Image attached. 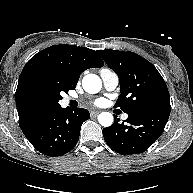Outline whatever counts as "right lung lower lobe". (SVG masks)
I'll return each instance as SVG.
<instances>
[{
	"label": "right lung lower lobe",
	"instance_id": "right-lung-lower-lobe-1",
	"mask_svg": "<svg viewBox=\"0 0 193 193\" xmlns=\"http://www.w3.org/2000/svg\"><path fill=\"white\" fill-rule=\"evenodd\" d=\"M89 118L90 114L86 109L60 107L46 114L23 133L39 152L52 157L60 156L75 147L81 125Z\"/></svg>",
	"mask_w": 193,
	"mask_h": 193
}]
</instances>
